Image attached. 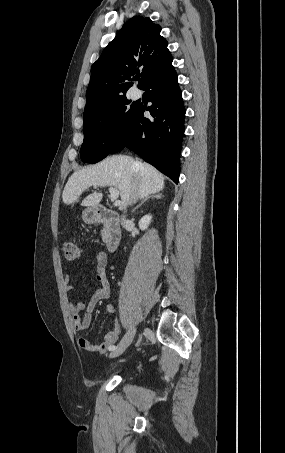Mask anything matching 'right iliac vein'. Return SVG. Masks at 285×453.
Returning a JSON list of instances; mask_svg holds the SVG:
<instances>
[{
  "label": "right iliac vein",
  "instance_id": "right-iliac-vein-1",
  "mask_svg": "<svg viewBox=\"0 0 285 453\" xmlns=\"http://www.w3.org/2000/svg\"><path fill=\"white\" fill-rule=\"evenodd\" d=\"M135 334H136V326H132L127 331V333L124 335V337L122 338L120 343L117 345L116 349L112 350V352L110 353V357L114 358V357L121 355L131 344Z\"/></svg>",
  "mask_w": 285,
  "mask_h": 453
}]
</instances>
